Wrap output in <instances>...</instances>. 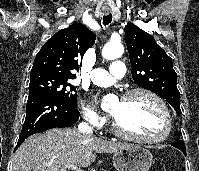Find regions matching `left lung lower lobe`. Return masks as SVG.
Masks as SVG:
<instances>
[{
	"instance_id": "0a47b994",
	"label": "left lung lower lobe",
	"mask_w": 199,
	"mask_h": 171,
	"mask_svg": "<svg viewBox=\"0 0 199 171\" xmlns=\"http://www.w3.org/2000/svg\"><path fill=\"white\" fill-rule=\"evenodd\" d=\"M174 147L180 149L184 154H186V148L185 145L182 143L181 140H179L178 142L172 144Z\"/></svg>"
}]
</instances>
